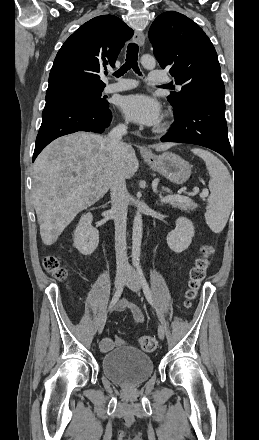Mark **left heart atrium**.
I'll return each mask as SVG.
<instances>
[{"label":"left heart atrium","mask_w":259,"mask_h":440,"mask_svg":"<svg viewBox=\"0 0 259 440\" xmlns=\"http://www.w3.org/2000/svg\"><path fill=\"white\" fill-rule=\"evenodd\" d=\"M119 107L130 120L142 125L154 126L161 120L160 104L146 94L123 96Z\"/></svg>","instance_id":"left-heart-atrium-1"}]
</instances>
